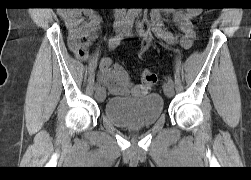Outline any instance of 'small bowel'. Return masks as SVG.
I'll return each mask as SVG.
<instances>
[{
	"label": "small bowel",
	"mask_w": 251,
	"mask_h": 180,
	"mask_svg": "<svg viewBox=\"0 0 251 180\" xmlns=\"http://www.w3.org/2000/svg\"><path fill=\"white\" fill-rule=\"evenodd\" d=\"M170 14L178 26L181 34L176 37L163 23L165 15ZM199 14L198 9L151 12L152 30L155 36L169 46L179 44L182 48L191 47L196 36L192 20ZM102 18L91 9H80L66 12L64 24L68 32V45L71 51L80 59L87 60L89 47L101 30ZM99 80L103 82L113 94L144 95L148 91L141 85L132 83L128 72L119 64H113L109 58L101 59L99 63Z\"/></svg>",
	"instance_id": "1"
}]
</instances>
